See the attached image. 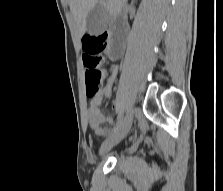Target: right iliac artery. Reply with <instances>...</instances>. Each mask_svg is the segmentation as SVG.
Returning <instances> with one entry per match:
<instances>
[{"label": "right iliac artery", "mask_w": 223, "mask_h": 191, "mask_svg": "<svg viewBox=\"0 0 223 191\" xmlns=\"http://www.w3.org/2000/svg\"><path fill=\"white\" fill-rule=\"evenodd\" d=\"M121 123H122V117H120V121L118 122V124L114 128V132H116L118 130V128L120 127Z\"/></svg>", "instance_id": "obj_1"}]
</instances>
